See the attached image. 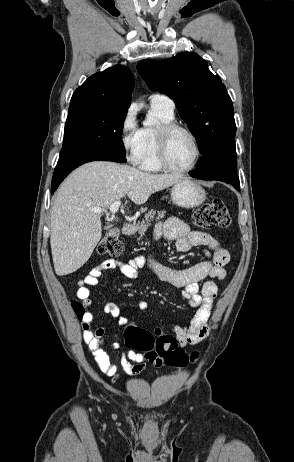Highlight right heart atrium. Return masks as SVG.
<instances>
[{"label": "right heart atrium", "mask_w": 294, "mask_h": 462, "mask_svg": "<svg viewBox=\"0 0 294 462\" xmlns=\"http://www.w3.org/2000/svg\"><path fill=\"white\" fill-rule=\"evenodd\" d=\"M119 136L127 160L134 165L138 164L141 153V138L136 115L132 108H129L122 118Z\"/></svg>", "instance_id": "obj_1"}]
</instances>
